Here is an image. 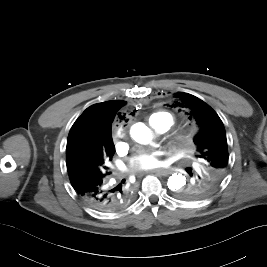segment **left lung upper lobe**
<instances>
[{"label":"left lung upper lobe","mask_w":267,"mask_h":267,"mask_svg":"<svg viewBox=\"0 0 267 267\" xmlns=\"http://www.w3.org/2000/svg\"><path fill=\"white\" fill-rule=\"evenodd\" d=\"M172 106L184 111L200 128L194 138L195 157L200 170L177 195L194 200L210 195L222 182L228 170V147L224 125L216 112L201 99L184 92L174 95Z\"/></svg>","instance_id":"1"}]
</instances>
